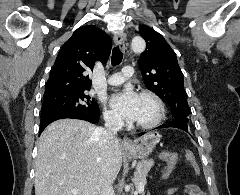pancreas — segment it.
I'll return each instance as SVG.
<instances>
[{
    "label": "pancreas",
    "mask_w": 240,
    "mask_h": 195,
    "mask_svg": "<svg viewBox=\"0 0 240 195\" xmlns=\"http://www.w3.org/2000/svg\"><path fill=\"white\" fill-rule=\"evenodd\" d=\"M154 163V159H141V161H138L134 177H132V181L136 187H139L140 183H145L146 175H148V171H150Z\"/></svg>",
    "instance_id": "pancreas-1"
}]
</instances>
